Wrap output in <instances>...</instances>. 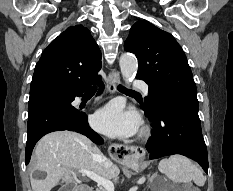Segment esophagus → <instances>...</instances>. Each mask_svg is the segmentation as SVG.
Segmentation results:
<instances>
[{"label": "esophagus", "instance_id": "34e87169", "mask_svg": "<svg viewBox=\"0 0 233 191\" xmlns=\"http://www.w3.org/2000/svg\"><path fill=\"white\" fill-rule=\"evenodd\" d=\"M120 83V75L116 70H111L108 75L107 89L111 94L116 93V88ZM110 156L115 158L118 164H132L138 162L144 155L143 148L135 146H125L122 144H111Z\"/></svg>", "mask_w": 233, "mask_h": 191}]
</instances>
